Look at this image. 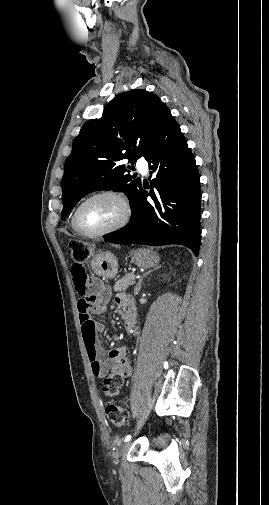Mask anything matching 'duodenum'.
<instances>
[{
    "instance_id": "1",
    "label": "duodenum",
    "mask_w": 269,
    "mask_h": 505,
    "mask_svg": "<svg viewBox=\"0 0 269 505\" xmlns=\"http://www.w3.org/2000/svg\"><path fill=\"white\" fill-rule=\"evenodd\" d=\"M125 326L128 331H132L136 324V313L131 303H126L123 306Z\"/></svg>"
}]
</instances>
